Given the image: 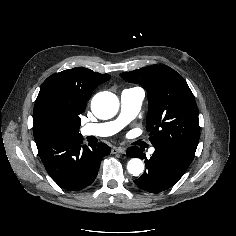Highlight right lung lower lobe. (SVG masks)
Listing matches in <instances>:
<instances>
[{
    "mask_svg": "<svg viewBox=\"0 0 236 236\" xmlns=\"http://www.w3.org/2000/svg\"><path fill=\"white\" fill-rule=\"evenodd\" d=\"M40 158L51 178L68 191L81 190L96 178L110 148L104 143L82 145L81 134L36 142Z\"/></svg>",
    "mask_w": 236,
    "mask_h": 236,
    "instance_id": "98d812e1",
    "label": "right lung lower lobe"
}]
</instances>
